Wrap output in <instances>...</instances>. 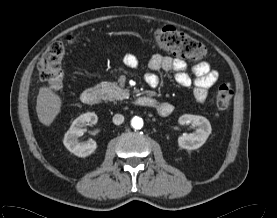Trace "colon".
Masks as SVG:
<instances>
[{
  "label": "colon",
  "mask_w": 277,
  "mask_h": 218,
  "mask_svg": "<svg viewBox=\"0 0 277 218\" xmlns=\"http://www.w3.org/2000/svg\"><path fill=\"white\" fill-rule=\"evenodd\" d=\"M154 43L163 51L190 60H200L205 54V47L197 39L173 27H160L152 34ZM74 43V38L53 42L42 54L38 62L40 80L50 89L62 88L64 73L62 61L66 47ZM234 91L227 84L220 85L215 92V104L219 110L227 109L232 101Z\"/></svg>",
  "instance_id": "colon-1"
}]
</instances>
